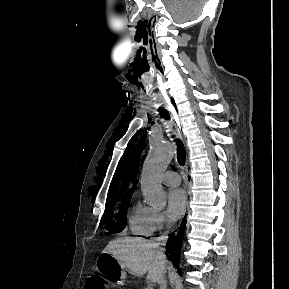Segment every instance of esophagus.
<instances>
[{"label": "esophagus", "instance_id": "obj_1", "mask_svg": "<svg viewBox=\"0 0 289 289\" xmlns=\"http://www.w3.org/2000/svg\"><path fill=\"white\" fill-rule=\"evenodd\" d=\"M175 129H176V132L177 134L183 139L184 141V145H185V149H186V152L187 154H189V147H188V143H187V139L186 137L181 133V125H180V121L178 119V117L175 118ZM189 172H188V157H187V160H186V166H185V183H186V187L188 188L189 186ZM189 195H190V192L188 191V198H189Z\"/></svg>", "mask_w": 289, "mask_h": 289}]
</instances>
